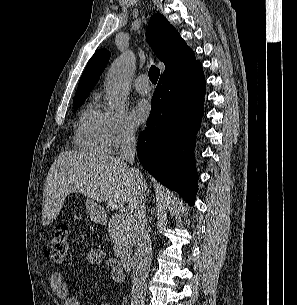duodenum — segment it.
I'll use <instances>...</instances> for the list:
<instances>
[{
	"label": "duodenum",
	"instance_id": "1",
	"mask_svg": "<svg viewBox=\"0 0 297 305\" xmlns=\"http://www.w3.org/2000/svg\"><path fill=\"white\" fill-rule=\"evenodd\" d=\"M120 266L125 271H130L133 266V257L129 254H122L119 257Z\"/></svg>",
	"mask_w": 297,
	"mask_h": 305
}]
</instances>
